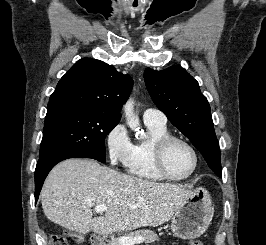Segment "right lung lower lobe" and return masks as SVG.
<instances>
[{
    "mask_svg": "<svg viewBox=\"0 0 266 245\" xmlns=\"http://www.w3.org/2000/svg\"><path fill=\"white\" fill-rule=\"evenodd\" d=\"M68 158H92V156L73 152V151H57L50 153L42 158H39L35 169V204L38 200L44 180L50 170L60 161Z\"/></svg>",
    "mask_w": 266,
    "mask_h": 245,
    "instance_id": "98d812e1",
    "label": "right lung lower lobe"
}]
</instances>
